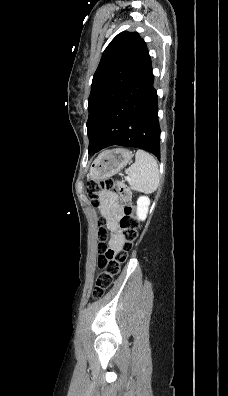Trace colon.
<instances>
[{
    "label": "colon",
    "instance_id": "1",
    "mask_svg": "<svg viewBox=\"0 0 228 396\" xmlns=\"http://www.w3.org/2000/svg\"><path fill=\"white\" fill-rule=\"evenodd\" d=\"M105 190H116L124 199H127L129 196V190L123 183L116 182L112 179L100 181L89 180L86 184V193L94 207H99V196ZM120 225L122 244L118 248L107 246V230L103 226H100L98 229L99 257L97 265L101 269V272L97 276L96 286L93 293L96 298L101 297L113 284L115 277L120 272L121 265L128 258V252L139 237L138 221L133 215V208L128 204H125L124 215L120 221Z\"/></svg>",
    "mask_w": 228,
    "mask_h": 396
}]
</instances>
